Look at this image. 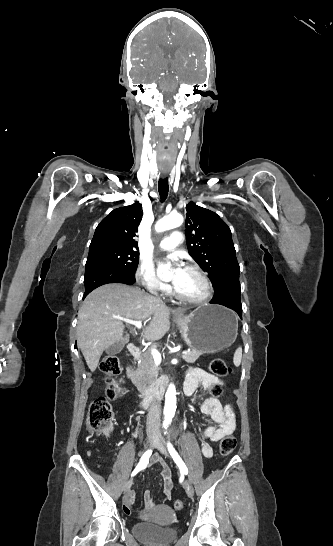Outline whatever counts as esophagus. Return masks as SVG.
Listing matches in <instances>:
<instances>
[{
  "label": "esophagus",
  "instance_id": "34e87169",
  "mask_svg": "<svg viewBox=\"0 0 333 546\" xmlns=\"http://www.w3.org/2000/svg\"><path fill=\"white\" fill-rule=\"evenodd\" d=\"M174 313H175V315H179V314H180V312H179V311H175Z\"/></svg>",
  "mask_w": 333,
  "mask_h": 546
}]
</instances>
